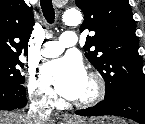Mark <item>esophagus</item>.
Here are the masks:
<instances>
[{
	"instance_id": "obj_1",
	"label": "esophagus",
	"mask_w": 145,
	"mask_h": 124,
	"mask_svg": "<svg viewBox=\"0 0 145 124\" xmlns=\"http://www.w3.org/2000/svg\"><path fill=\"white\" fill-rule=\"evenodd\" d=\"M63 119H64L65 123H67V124L71 123L74 120L73 117L68 114L64 115Z\"/></svg>"
}]
</instances>
